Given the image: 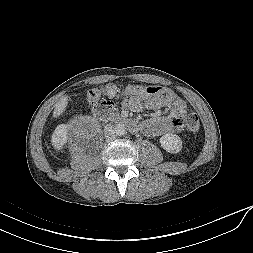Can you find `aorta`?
I'll use <instances>...</instances> for the list:
<instances>
[{
  "instance_id": "762f6f07",
  "label": "aorta",
  "mask_w": 253,
  "mask_h": 253,
  "mask_svg": "<svg viewBox=\"0 0 253 253\" xmlns=\"http://www.w3.org/2000/svg\"><path fill=\"white\" fill-rule=\"evenodd\" d=\"M116 136H123L126 133V127L124 124H117L114 126Z\"/></svg>"
}]
</instances>
